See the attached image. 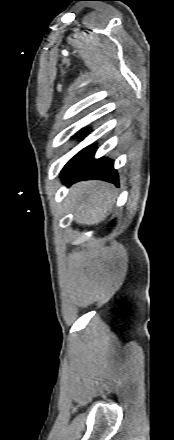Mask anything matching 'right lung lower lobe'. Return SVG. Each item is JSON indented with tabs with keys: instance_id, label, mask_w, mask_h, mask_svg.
Wrapping results in <instances>:
<instances>
[{
	"instance_id": "right-lung-lower-lobe-1",
	"label": "right lung lower lobe",
	"mask_w": 174,
	"mask_h": 440,
	"mask_svg": "<svg viewBox=\"0 0 174 440\" xmlns=\"http://www.w3.org/2000/svg\"><path fill=\"white\" fill-rule=\"evenodd\" d=\"M94 154L95 146L87 147L75 171L63 178V182L69 185L80 180L100 179L118 186L119 179L114 163L107 158L94 159Z\"/></svg>"
}]
</instances>
